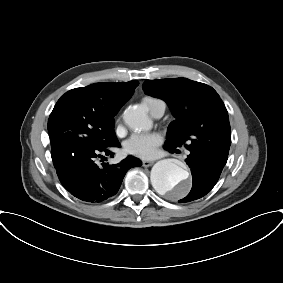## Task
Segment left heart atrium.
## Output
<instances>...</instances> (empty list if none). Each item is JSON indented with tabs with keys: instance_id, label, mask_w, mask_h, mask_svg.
I'll use <instances>...</instances> for the list:
<instances>
[{
	"instance_id": "1",
	"label": "left heart atrium",
	"mask_w": 283,
	"mask_h": 283,
	"mask_svg": "<svg viewBox=\"0 0 283 283\" xmlns=\"http://www.w3.org/2000/svg\"><path fill=\"white\" fill-rule=\"evenodd\" d=\"M162 137L158 133L135 134L124 143L126 152L142 159H152L158 152L162 143Z\"/></svg>"
}]
</instances>
